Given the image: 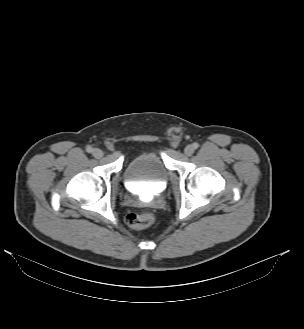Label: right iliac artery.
<instances>
[{
    "instance_id": "82829eb1",
    "label": "right iliac artery",
    "mask_w": 304,
    "mask_h": 329,
    "mask_svg": "<svg viewBox=\"0 0 304 329\" xmlns=\"http://www.w3.org/2000/svg\"><path fill=\"white\" fill-rule=\"evenodd\" d=\"M86 151H87L88 153H91V152H93V148H92L91 146H88V147L86 148Z\"/></svg>"
}]
</instances>
